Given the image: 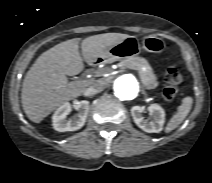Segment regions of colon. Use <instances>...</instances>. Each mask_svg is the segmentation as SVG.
Masks as SVG:
<instances>
[{"label":"colon","instance_id":"colon-1","mask_svg":"<svg viewBox=\"0 0 212 183\" xmlns=\"http://www.w3.org/2000/svg\"><path fill=\"white\" fill-rule=\"evenodd\" d=\"M165 88L163 89V97L166 100H172L177 94V87L182 81L180 72L174 68H168L165 73Z\"/></svg>","mask_w":212,"mask_h":183}]
</instances>
